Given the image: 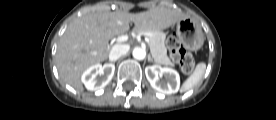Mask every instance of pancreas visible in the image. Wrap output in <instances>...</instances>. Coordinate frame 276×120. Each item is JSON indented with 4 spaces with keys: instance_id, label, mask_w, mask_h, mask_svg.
Returning <instances> with one entry per match:
<instances>
[{
    "instance_id": "obj_1",
    "label": "pancreas",
    "mask_w": 276,
    "mask_h": 120,
    "mask_svg": "<svg viewBox=\"0 0 276 120\" xmlns=\"http://www.w3.org/2000/svg\"><path fill=\"white\" fill-rule=\"evenodd\" d=\"M143 32H150L152 35H149V47L152 56L154 57L156 63L174 66V64L170 61L169 57L167 56V48L165 46V36L160 31H143Z\"/></svg>"
}]
</instances>
